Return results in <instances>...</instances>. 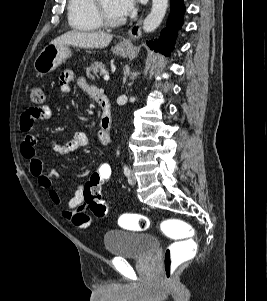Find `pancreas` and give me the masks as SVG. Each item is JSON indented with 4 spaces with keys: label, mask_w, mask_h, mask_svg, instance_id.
Segmentation results:
<instances>
[{
    "label": "pancreas",
    "mask_w": 267,
    "mask_h": 301,
    "mask_svg": "<svg viewBox=\"0 0 267 301\" xmlns=\"http://www.w3.org/2000/svg\"><path fill=\"white\" fill-rule=\"evenodd\" d=\"M98 72H100V75L106 72L105 64L100 62H95L90 67L86 68V74L92 80H95V77H97Z\"/></svg>",
    "instance_id": "pancreas-1"
}]
</instances>
